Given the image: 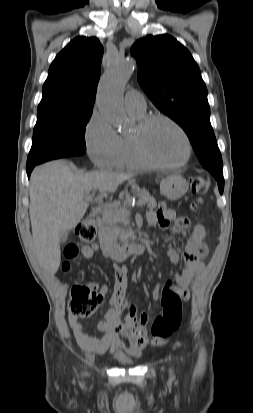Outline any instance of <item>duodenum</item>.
<instances>
[{
	"instance_id": "1",
	"label": "duodenum",
	"mask_w": 253,
	"mask_h": 413,
	"mask_svg": "<svg viewBox=\"0 0 253 413\" xmlns=\"http://www.w3.org/2000/svg\"><path fill=\"white\" fill-rule=\"evenodd\" d=\"M99 238L103 254L116 261H123L131 255H142L146 251V246L142 244L113 245L109 240L107 227L101 221L99 222Z\"/></svg>"
}]
</instances>
